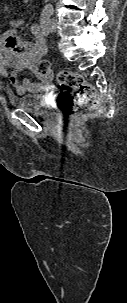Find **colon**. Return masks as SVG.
Here are the masks:
<instances>
[{
    "mask_svg": "<svg viewBox=\"0 0 127 303\" xmlns=\"http://www.w3.org/2000/svg\"><path fill=\"white\" fill-rule=\"evenodd\" d=\"M37 70L42 75L47 74L50 70L49 62L41 60ZM56 82L62 89L59 102L65 114L74 115L78 111L87 110L96 104L95 89L85 81L80 73L62 70L57 73Z\"/></svg>",
    "mask_w": 127,
    "mask_h": 303,
    "instance_id": "5ec220e1",
    "label": "colon"
}]
</instances>
